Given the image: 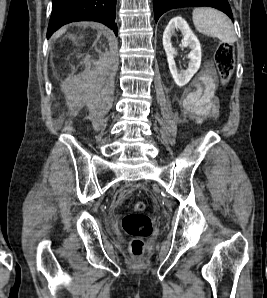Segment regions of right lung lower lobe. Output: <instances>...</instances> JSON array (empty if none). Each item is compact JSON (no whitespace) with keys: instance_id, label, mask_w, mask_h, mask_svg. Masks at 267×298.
Masks as SVG:
<instances>
[{"instance_id":"98d812e1","label":"right lung lower lobe","mask_w":267,"mask_h":298,"mask_svg":"<svg viewBox=\"0 0 267 298\" xmlns=\"http://www.w3.org/2000/svg\"><path fill=\"white\" fill-rule=\"evenodd\" d=\"M116 0H53L47 38L61 26L76 21H97L117 35Z\"/></svg>"}]
</instances>
